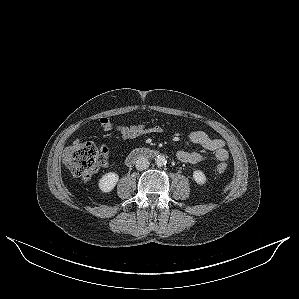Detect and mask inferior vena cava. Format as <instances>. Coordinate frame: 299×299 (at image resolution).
Wrapping results in <instances>:
<instances>
[{"label":"inferior vena cava","instance_id":"inferior-vena-cava-1","mask_svg":"<svg viewBox=\"0 0 299 299\" xmlns=\"http://www.w3.org/2000/svg\"><path fill=\"white\" fill-rule=\"evenodd\" d=\"M150 165V162L147 158L143 157V156H140L138 157V159L136 160V164H135V167L137 170H145L149 167Z\"/></svg>","mask_w":299,"mask_h":299}]
</instances>
